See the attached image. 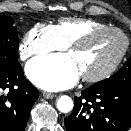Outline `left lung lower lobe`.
<instances>
[{
    "label": "left lung lower lobe",
    "mask_w": 131,
    "mask_h": 131,
    "mask_svg": "<svg viewBox=\"0 0 131 131\" xmlns=\"http://www.w3.org/2000/svg\"><path fill=\"white\" fill-rule=\"evenodd\" d=\"M67 131H127L131 127V89L91 86L75 97Z\"/></svg>",
    "instance_id": "obj_1"
}]
</instances>
